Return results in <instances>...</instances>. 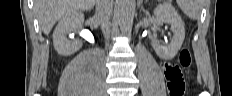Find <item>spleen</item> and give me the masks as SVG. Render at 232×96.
<instances>
[{
	"label": "spleen",
	"mask_w": 232,
	"mask_h": 96,
	"mask_svg": "<svg viewBox=\"0 0 232 96\" xmlns=\"http://www.w3.org/2000/svg\"><path fill=\"white\" fill-rule=\"evenodd\" d=\"M183 13L192 20L200 18L202 10L201 0H177L176 1Z\"/></svg>",
	"instance_id": "obj_1"
}]
</instances>
